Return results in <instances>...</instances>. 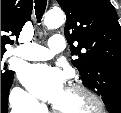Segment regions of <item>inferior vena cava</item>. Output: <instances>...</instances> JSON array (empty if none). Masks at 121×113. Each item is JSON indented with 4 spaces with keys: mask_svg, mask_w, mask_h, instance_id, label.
I'll use <instances>...</instances> for the list:
<instances>
[{
    "mask_svg": "<svg viewBox=\"0 0 121 113\" xmlns=\"http://www.w3.org/2000/svg\"><path fill=\"white\" fill-rule=\"evenodd\" d=\"M20 110H21L20 107H13L11 113H21Z\"/></svg>",
    "mask_w": 121,
    "mask_h": 113,
    "instance_id": "602c4592",
    "label": "inferior vena cava"
}]
</instances>
